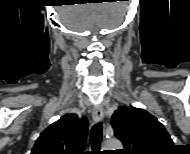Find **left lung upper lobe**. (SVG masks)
<instances>
[{
	"mask_svg": "<svg viewBox=\"0 0 190 154\" xmlns=\"http://www.w3.org/2000/svg\"><path fill=\"white\" fill-rule=\"evenodd\" d=\"M114 135L124 154H158L173 147L164 126L147 111L133 106L119 107L112 117Z\"/></svg>",
	"mask_w": 190,
	"mask_h": 154,
	"instance_id": "left-lung-upper-lobe-1",
	"label": "left lung upper lobe"
}]
</instances>
